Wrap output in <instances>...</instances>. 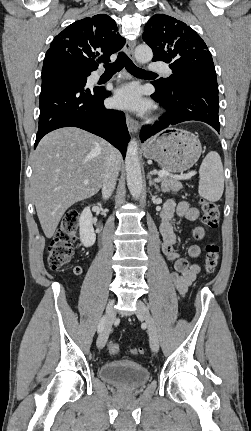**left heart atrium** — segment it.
Segmentation results:
<instances>
[{
  "label": "left heart atrium",
  "instance_id": "left-heart-atrium-1",
  "mask_svg": "<svg viewBox=\"0 0 251 431\" xmlns=\"http://www.w3.org/2000/svg\"><path fill=\"white\" fill-rule=\"evenodd\" d=\"M113 103L118 108L136 111H143L148 107V104L141 97L140 89L134 85L119 89L113 98Z\"/></svg>",
  "mask_w": 251,
  "mask_h": 431
}]
</instances>
